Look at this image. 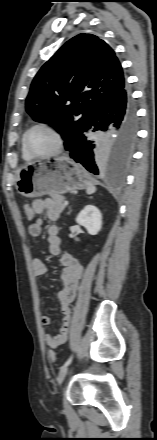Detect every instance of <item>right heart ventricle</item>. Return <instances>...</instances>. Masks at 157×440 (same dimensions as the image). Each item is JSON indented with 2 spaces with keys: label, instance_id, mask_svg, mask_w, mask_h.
I'll return each mask as SVG.
<instances>
[{
  "label": "right heart ventricle",
  "instance_id": "right-heart-ventricle-1",
  "mask_svg": "<svg viewBox=\"0 0 157 440\" xmlns=\"http://www.w3.org/2000/svg\"><path fill=\"white\" fill-rule=\"evenodd\" d=\"M21 152H22V156L24 159L29 160L31 159V156L26 152V150L24 149L23 146V139H22V143H21Z\"/></svg>",
  "mask_w": 157,
  "mask_h": 440
}]
</instances>
